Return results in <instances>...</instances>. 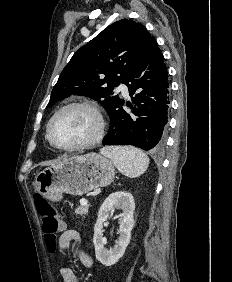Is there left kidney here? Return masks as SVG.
<instances>
[{
    "mask_svg": "<svg viewBox=\"0 0 232 282\" xmlns=\"http://www.w3.org/2000/svg\"><path fill=\"white\" fill-rule=\"evenodd\" d=\"M122 209L119 228V239L113 249L107 250L104 247L103 239V223L110 216V212L115 209ZM134 210L135 203L131 193L126 191H117L111 193L101 205L96 224L94 226L93 243L95 247V254L98 261L105 266H111L118 262V260L125 253L131 239V230L134 227Z\"/></svg>",
    "mask_w": 232,
    "mask_h": 282,
    "instance_id": "1",
    "label": "left kidney"
}]
</instances>
